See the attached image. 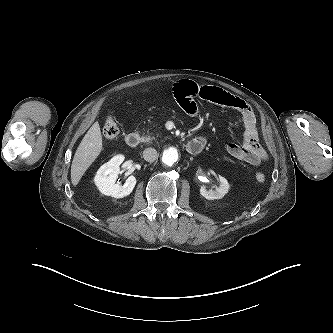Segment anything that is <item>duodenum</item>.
Masks as SVG:
<instances>
[{
	"mask_svg": "<svg viewBox=\"0 0 333 333\" xmlns=\"http://www.w3.org/2000/svg\"><path fill=\"white\" fill-rule=\"evenodd\" d=\"M140 135L135 132H130L125 137L126 144L131 147L135 148L140 144ZM205 146V141L203 139H193L186 145V150L188 153L192 155L199 154Z\"/></svg>",
	"mask_w": 333,
	"mask_h": 333,
	"instance_id": "obj_1",
	"label": "duodenum"
}]
</instances>
